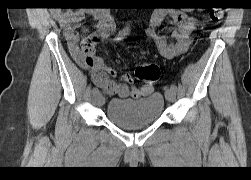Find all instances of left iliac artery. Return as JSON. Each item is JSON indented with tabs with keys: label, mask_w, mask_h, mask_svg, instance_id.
Masks as SVG:
<instances>
[{
	"label": "left iliac artery",
	"mask_w": 251,
	"mask_h": 180,
	"mask_svg": "<svg viewBox=\"0 0 251 180\" xmlns=\"http://www.w3.org/2000/svg\"><path fill=\"white\" fill-rule=\"evenodd\" d=\"M170 89L176 91L177 90V86L175 84H171Z\"/></svg>",
	"instance_id": "44dca946"
}]
</instances>
